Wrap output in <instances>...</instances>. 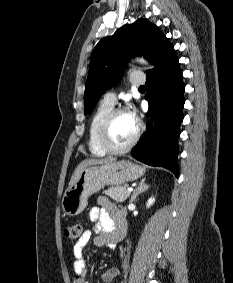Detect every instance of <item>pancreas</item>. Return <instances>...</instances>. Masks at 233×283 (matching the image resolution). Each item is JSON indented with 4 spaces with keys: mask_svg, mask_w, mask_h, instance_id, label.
I'll list each match as a JSON object with an SVG mask.
<instances>
[{
    "mask_svg": "<svg viewBox=\"0 0 233 283\" xmlns=\"http://www.w3.org/2000/svg\"><path fill=\"white\" fill-rule=\"evenodd\" d=\"M127 188L128 186L124 184L122 186L110 187L103 191V193L117 202H124L130 195L127 192Z\"/></svg>",
    "mask_w": 233,
    "mask_h": 283,
    "instance_id": "pancreas-1",
    "label": "pancreas"
}]
</instances>
